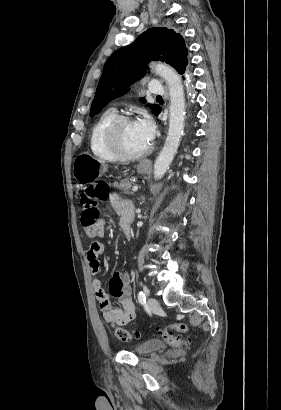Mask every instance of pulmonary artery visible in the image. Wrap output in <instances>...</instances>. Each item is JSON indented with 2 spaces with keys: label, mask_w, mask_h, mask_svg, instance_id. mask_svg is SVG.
Here are the masks:
<instances>
[{
  "label": "pulmonary artery",
  "mask_w": 281,
  "mask_h": 410,
  "mask_svg": "<svg viewBox=\"0 0 281 410\" xmlns=\"http://www.w3.org/2000/svg\"><path fill=\"white\" fill-rule=\"evenodd\" d=\"M147 90L152 94H163L165 92L164 87L156 80L148 83Z\"/></svg>",
  "instance_id": "obj_1"
}]
</instances>
